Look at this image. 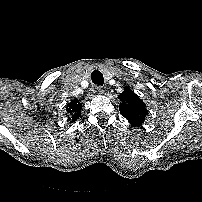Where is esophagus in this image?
<instances>
[{
  "label": "esophagus",
  "instance_id": "obj_1",
  "mask_svg": "<svg viewBox=\"0 0 202 202\" xmlns=\"http://www.w3.org/2000/svg\"><path fill=\"white\" fill-rule=\"evenodd\" d=\"M93 91L96 94H103L104 93V89L101 86H99V85H95L93 87Z\"/></svg>",
  "mask_w": 202,
  "mask_h": 202
}]
</instances>
